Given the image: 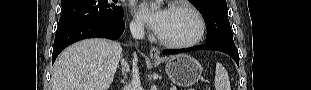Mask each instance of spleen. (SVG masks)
Here are the masks:
<instances>
[{"label":"spleen","mask_w":311,"mask_h":90,"mask_svg":"<svg viewBox=\"0 0 311 90\" xmlns=\"http://www.w3.org/2000/svg\"><path fill=\"white\" fill-rule=\"evenodd\" d=\"M214 84L215 90H230L228 73L225 67L218 62L216 63Z\"/></svg>","instance_id":"3e777b00"}]
</instances>
